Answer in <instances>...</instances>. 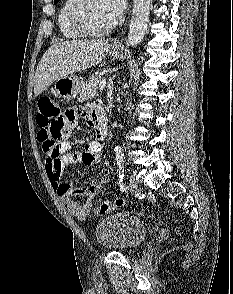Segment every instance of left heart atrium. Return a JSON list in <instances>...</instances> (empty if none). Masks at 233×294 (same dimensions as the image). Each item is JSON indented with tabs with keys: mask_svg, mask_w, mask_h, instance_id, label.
Returning a JSON list of instances; mask_svg holds the SVG:
<instances>
[{
	"mask_svg": "<svg viewBox=\"0 0 233 294\" xmlns=\"http://www.w3.org/2000/svg\"><path fill=\"white\" fill-rule=\"evenodd\" d=\"M112 13L118 18L126 9V0H106Z\"/></svg>",
	"mask_w": 233,
	"mask_h": 294,
	"instance_id": "1",
	"label": "left heart atrium"
}]
</instances>
